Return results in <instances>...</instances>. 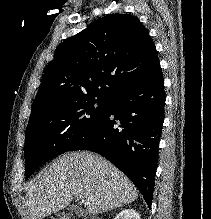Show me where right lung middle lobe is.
<instances>
[{
  "label": "right lung middle lobe",
  "mask_w": 211,
  "mask_h": 219,
  "mask_svg": "<svg viewBox=\"0 0 211 219\" xmlns=\"http://www.w3.org/2000/svg\"><path fill=\"white\" fill-rule=\"evenodd\" d=\"M109 102L104 98H84L30 119L25 133L26 178L41 164L69 151L90 132L106 114Z\"/></svg>",
  "instance_id": "1"
}]
</instances>
